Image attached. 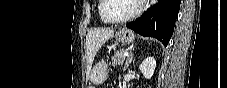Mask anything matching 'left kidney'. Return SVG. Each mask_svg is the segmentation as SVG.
<instances>
[{
    "instance_id": "5707ae66",
    "label": "left kidney",
    "mask_w": 227,
    "mask_h": 88,
    "mask_svg": "<svg viewBox=\"0 0 227 88\" xmlns=\"http://www.w3.org/2000/svg\"><path fill=\"white\" fill-rule=\"evenodd\" d=\"M155 67L156 60L154 59V57H147L146 59H144V61H142L139 69L145 78L150 79L154 74Z\"/></svg>"
}]
</instances>
